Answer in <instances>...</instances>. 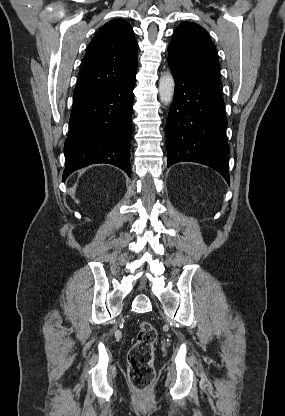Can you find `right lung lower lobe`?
Here are the masks:
<instances>
[{
    "mask_svg": "<svg viewBox=\"0 0 285 416\" xmlns=\"http://www.w3.org/2000/svg\"><path fill=\"white\" fill-rule=\"evenodd\" d=\"M136 74L102 93L73 102L64 145L63 181L95 163L113 164L131 176L133 89Z\"/></svg>",
    "mask_w": 285,
    "mask_h": 416,
    "instance_id": "98d812e1",
    "label": "right lung lower lobe"
}]
</instances>
